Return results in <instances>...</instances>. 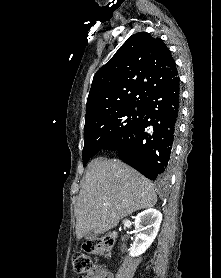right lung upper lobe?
I'll use <instances>...</instances> for the list:
<instances>
[{
	"mask_svg": "<svg viewBox=\"0 0 221 278\" xmlns=\"http://www.w3.org/2000/svg\"><path fill=\"white\" fill-rule=\"evenodd\" d=\"M177 75L171 52L160 38L145 32L132 35L94 75L85 122L144 102L152 91Z\"/></svg>",
	"mask_w": 221,
	"mask_h": 278,
	"instance_id": "obj_1",
	"label": "right lung upper lobe"
}]
</instances>
